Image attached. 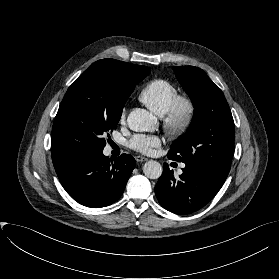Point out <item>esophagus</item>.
<instances>
[{"instance_id":"esophagus-1","label":"esophagus","mask_w":279,"mask_h":279,"mask_svg":"<svg viewBox=\"0 0 279 279\" xmlns=\"http://www.w3.org/2000/svg\"><path fill=\"white\" fill-rule=\"evenodd\" d=\"M135 159H136L137 162H144V161H147V158H146V157H143V156H136Z\"/></svg>"}]
</instances>
